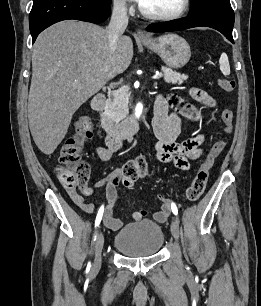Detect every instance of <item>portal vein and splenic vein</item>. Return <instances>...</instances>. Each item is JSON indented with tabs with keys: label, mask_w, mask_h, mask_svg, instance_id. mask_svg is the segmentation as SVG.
<instances>
[{
	"label": "portal vein and splenic vein",
	"mask_w": 261,
	"mask_h": 306,
	"mask_svg": "<svg viewBox=\"0 0 261 306\" xmlns=\"http://www.w3.org/2000/svg\"><path fill=\"white\" fill-rule=\"evenodd\" d=\"M162 76L161 73H156L155 75L152 76V79H159Z\"/></svg>",
	"instance_id": "portal-vein-and-splenic-vein-1"
}]
</instances>
